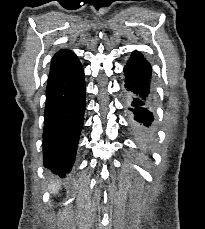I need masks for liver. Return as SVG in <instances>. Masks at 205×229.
Returning <instances> with one entry per match:
<instances>
[{"label":"liver","mask_w":205,"mask_h":229,"mask_svg":"<svg viewBox=\"0 0 205 229\" xmlns=\"http://www.w3.org/2000/svg\"><path fill=\"white\" fill-rule=\"evenodd\" d=\"M59 188H60L59 185H57L56 183H53V184L50 186V190H52V192H53L54 194L58 193Z\"/></svg>","instance_id":"liver-1"}]
</instances>
